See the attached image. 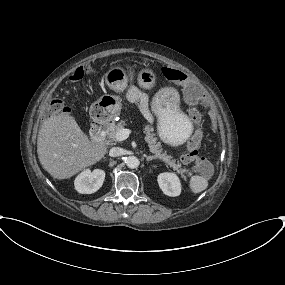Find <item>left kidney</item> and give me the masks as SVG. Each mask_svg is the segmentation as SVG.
<instances>
[{"instance_id":"obj_1","label":"left kidney","mask_w":285,"mask_h":285,"mask_svg":"<svg viewBox=\"0 0 285 285\" xmlns=\"http://www.w3.org/2000/svg\"><path fill=\"white\" fill-rule=\"evenodd\" d=\"M158 184L165 195L175 197L181 193V183L174 173H161L158 175Z\"/></svg>"}]
</instances>
